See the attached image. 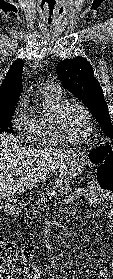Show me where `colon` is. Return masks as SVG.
I'll return each instance as SVG.
<instances>
[{
  "label": "colon",
  "instance_id": "colon-1",
  "mask_svg": "<svg viewBox=\"0 0 113 279\" xmlns=\"http://www.w3.org/2000/svg\"><path fill=\"white\" fill-rule=\"evenodd\" d=\"M90 159L98 164L97 183L100 189L106 192H113V150L107 145L99 146L91 151ZM27 253L28 250L26 248L16 249L4 242L0 237V274L5 272L2 270L6 264V269H8V265L23 263Z\"/></svg>",
  "mask_w": 113,
  "mask_h": 279
}]
</instances>
